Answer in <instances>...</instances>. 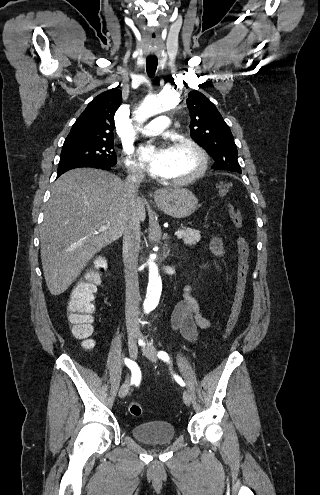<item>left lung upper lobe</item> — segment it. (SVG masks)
<instances>
[{"instance_id": "1", "label": "left lung upper lobe", "mask_w": 320, "mask_h": 495, "mask_svg": "<svg viewBox=\"0 0 320 495\" xmlns=\"http://www.w3.org/2000/svg\"><path fill=\"white\" fill-rule=\"evenodd\" d=\"M186 102L190 113L191 137L214 158L212 168L242 173L233 135L215 105L196 90L189 93Z\"/></svg>"}]
</instances>
